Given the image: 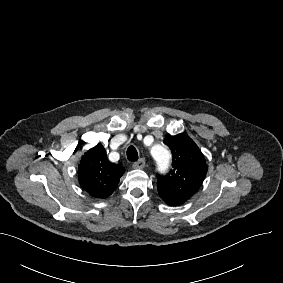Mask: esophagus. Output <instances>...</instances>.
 I'll return each instance as SVG.
<instances>
[{
    "label": "esophagus",
    "instance_id": "esophagus-1",
    "mask_svg": "<svg viewBox=\"0 0 283 283\" xmlns=\"http://www.w3.org/2000/svg\"><path fill=\"white\" fill-rule=\"evenodd\" d=\"M146 165V162L143 158L139 159L138 161L134 162L132 167L134 169H143Z\"/></svg>",
    "mask_w": 283,
    "mask_h": 283
}]
</instances>
